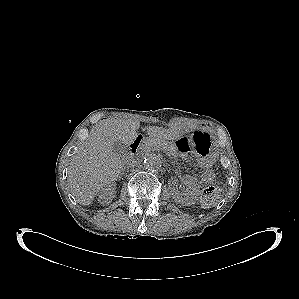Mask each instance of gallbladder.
<instances>
[{"label": "gallbladder", "mask_w": 299, "mask_h": 299, "mask_svg": "<svg viewBox=\"0 0 299 299\" xmlns=\"http://www.w3.org/2000/svg\"><path fill=\"white\" fill-rule=\"evenodd\" d=\"M113 150L120 157H125V156H128L130 154L128 146H126L125 144L121 143L120 141L114 142V144H113Z\"/></svg>", "instance_id": "bac80fb5"}]
</instances>
